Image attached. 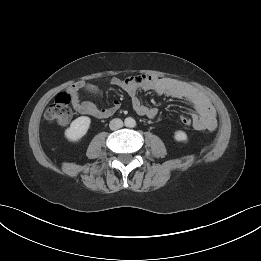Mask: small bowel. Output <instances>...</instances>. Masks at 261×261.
I'll use <instances>...</instances> for the list:
<instances>
[{"instance_id": "1", "label": "small bowel", "mask_w": 261, "mask_h": 261, "mask_svg": "<svg viewBox=\"0 0 261 261\" xmlns=\"http://www.w3.org/2000/svg\"><path fill=\"white\" fill-rule=\"evenodd\" d=\"M110 84L124 90L131 99L133 110L140 116L155 118L158 110L144 105L138 98L140 90L154 91L159 95L183 99L190 103L194 111L191 113L192 126L195 130L213 131L217 127L216 111L209 99L196 88L173 78L156 76H131L127 78H112ZM84 90L93 95H101L98 86L86 82H78L68 88L71 104L75 111L95 118L112 116L120 107L119 101H114L108 108H99L94 101H83L80 92Z\"/></svg>"}]
</instances>
